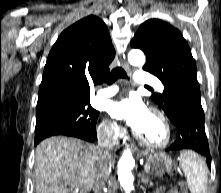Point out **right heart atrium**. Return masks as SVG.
Returning a JSON list of instances; mask_svg holds the SVG:
<instances>
[{
  "instance_id": "right-heart-atrium-1",
  "label": "right heart atrium",
  "mask_w": 221,
  "mask_h": 193,
  "mask_svg": "<svg viewBox=\"0 0 221 193\" xmlns=\"http://www.w3.org/2000/svg\"><path fill=\"white\" fill-rule=\"evenodd\" d=\"M98 134L101 139L115 142L122 137L123 132L116 122L111 121L108 118H104L98 126Z\"/></svg>"
}]
</instances>
